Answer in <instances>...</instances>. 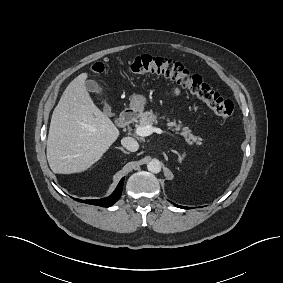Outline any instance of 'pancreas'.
Listing matches in <instances>:
<instances>
[{"mask_svg":"<svg viewBox=\"0 0 283 283\" xmlns=\"http://www.w3.org/2000/svg\"><path fill=\"white\" fill-rule=\"evenodd\" d=\"M139 124L140 126H153L158 124L157 120V114H154L152 111H147L144 113L139 114ZM168 121V127L172 129L173 131H177L180 135H182L185 140L190 143H196L197 145H200L202 142V138L199 136H195L192 131L189 129V127L182 125L181 121L176 122V119L171 121L169 118L167 119Z\"/></svg>","mask_w":283,"mask_h":283,"instance_id":"1","label":"pancreas"}]
</instances>
